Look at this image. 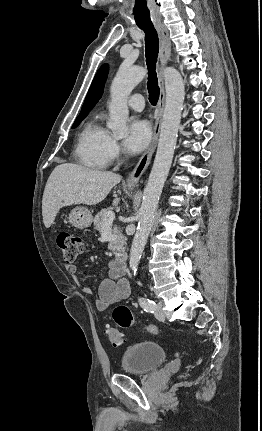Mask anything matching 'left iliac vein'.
Returning <instances> with one entry per match:
<instances>
[{
    "label": "left iliac vein",
    "instance_id": "obj_1",
    "mask_svg": "<svg viewBox=\"0 0 262 431\" xmlns=\"http://www.w3.org/2000/svg\"><path fill=\"white\" fill-rule=\"evenodd\" d=\"M163 306H164V303L162 301H158L154 312L155 317L160 321L165 320V311L163 309Z\"/></svg>",
    "mask_w": 262,
    "mask_h": 431
}]
</instances>
